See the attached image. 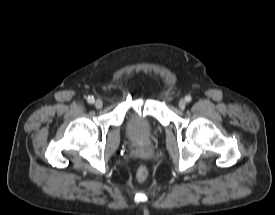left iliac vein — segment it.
<instances>
[{
	"instance_id": "4c4485c4",
	"label": "left iliac vein",
	"mask_w": 275,
	"mask_h": 215,
	"mask_svg": "<svg viewBox=\"0 0 275 215\" xmlns=\"http://www.w3.org/2000/svg\"><path fill=\"white\" fill-rule=\"evenodd\" d=\"M178 106L181 110L185 109L186 101L184 99H180L179 102H178Z\"/></svg>"
}]
</instances>
